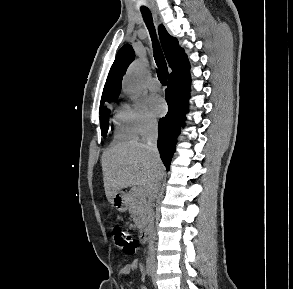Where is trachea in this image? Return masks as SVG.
<instances>
[{
    "label": "trachea",
    "instance_id": "1",
    "mask_svg": "<svg viewBox=\"0 0 293 289\" xmlns=\"http://www.w3.org/2000/svg\"><path fill=\"white\" fill-rule=\"evenodd\" d=\"M141 13L143 15L144 21L149 29V32L151 34V38L153 41L154 58H155L156 65L158 67V70H157L158 79L163 85H166L167 78H168L167 65H166L164 55L156 39L151 12L147 8H142Z\"/></svg>",
    "mask_w": 293,
    "mask_h": 289
}]
</instances>
